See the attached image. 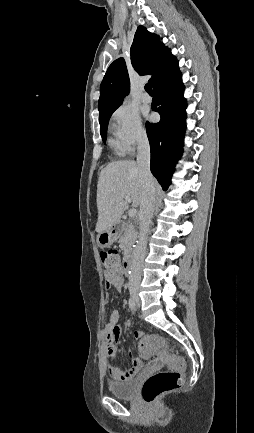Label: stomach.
<instances>
[{
    "label": "stomach",
    "instance_id": "0dacf381",
    "mask_svg": "<svg viewBox=\"0 0 254 433\" xmlns=\"http://www.w3.org/2000/svg\"><path fill=\"white\" fill-rule=\"evenodd\" d=\"M117 239V232L113 228L100 233L97 236V243L100 247H109Z\"/></svg>",
    "mask_w": 254,
    "mask_h": 433
}]
</instances>
